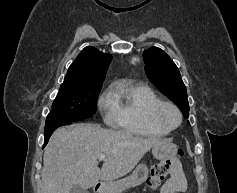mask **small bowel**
I'll list each match as a JSON object with an SVG mask.
<instances>
[{
  "label": "small bowel",
  "mask_w": 237,
  "mask_h": 193,
  "mask_svg": "<svg viewBox=\"0 0 237 193\" xmlns=\"http://www.w3.org/2000/svg\"><path fill=\"white\" fill-rule=\"evenodd\" d=\"M172 164L171 177L161 187L160 193H184L187 190V180L176 159L169 160Z\"/></svg>",
  "instance_id": "c3829d8e"
}]
</instances>
